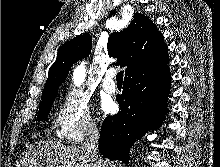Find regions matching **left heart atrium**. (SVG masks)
Masks as SVG:
<instances>
[{"mask_svg":"<svg viewBox=\"0 0 220 167\" xmlns=\"http://www.w3.org/2000/svg\"><path fill=\"white\" fill-rule=\"evenodd\" d=\"M114 102L111 98H104L101 101V109L105 114L111 113L114 110Z\"/></svg>","mask_w":220,"mask_h":167,"instance_id":"1","label":"left heart atrium"}]
</instances>
